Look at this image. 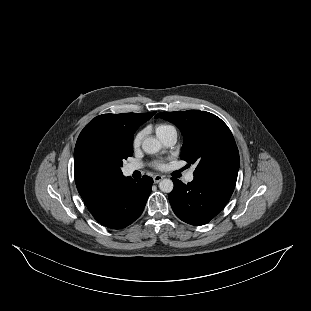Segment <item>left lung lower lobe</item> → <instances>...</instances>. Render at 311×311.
<instances>
[{
  "mask_svg": "<svg viewBox=\"0 0 311 311\" xmlns=\"http://www.w3.org/2000/svg\"><path fill=\"white\" fill-rule=\"evenodd\" d=\"M174 188L169 194L171 207L182 221L200 226L213 219L229 201L237 178H194L183 184L173 178Z\"/></svg>",
  "mask_w": 311,
  "mask_h": 311,
  "instance_id": "1",
  "label": "left lung lower lobe"
}]
</instances>
